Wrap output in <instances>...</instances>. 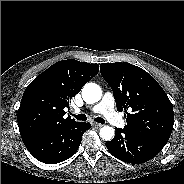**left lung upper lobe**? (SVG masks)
I'll list each match as a JSON object with an SVG mask.
<instances>
[{"mask_svg":"<svg viewBox=\"0 0 184 184\" xmlns=\"http://www.w3.org/2000/svg\"><path fill=\"white\" fill-rule=\"evenodd\" d=\"M100 72L113 91L119 112L130 129L160 147L173 130V105L158 82L145 70L127 62L103 63Z\"/></svg>","mask_w":184,"mask_h":184,"instance_id":"5c2ea615","label":"left lung upper lobe"}]
</instances>
